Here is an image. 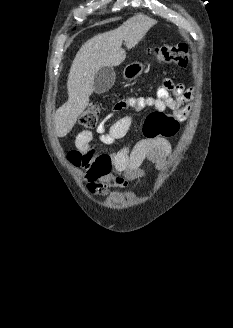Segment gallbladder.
<instances>
[{"instance_id":"1","label":"gallbladder","mask_w":233,"mask_h":328,"mask_svg":"<svg viewBox=\"0 0 233 328\" xmlns=\"http://www.w3.org/2000/svg\"><path fill=\"white\" fill-rule=\"evenodd\" d=\"M116 79L115 71L112 67H102L94 76V92L102 94L107 92Z\"/></svg>"}]
</instances>
